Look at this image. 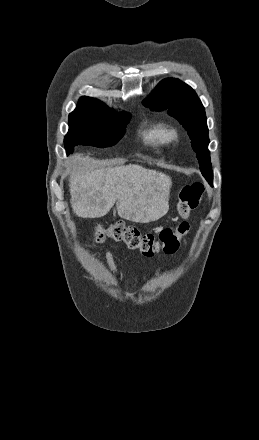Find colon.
Listing matches in <instances>:
<instances>
[{
    "instance_id": "obj_1",
    "label": "colon",
    "mask_w": 259,
    "mask_h": 440,
    "mask_svg": "<svg viewBox=\"0 0 259 440\" xmlns=\"http://www.w3.org/2000/svg\"><path fill=\"white\" fill-rule=\"evenodd\" d=\"M204 187L201 183H193L182 187L178 196L177 211L181 221L174 228L163 229L159 235L142 233L136 227L116 222L108 227L98 225L95 229L94 241L103 242L106 238L125 243L129 248L140 251L144 256L152 257L159 253L173 254L182 237L189 230V216L202 197Z\"/></svg>"
}]
</instances>
